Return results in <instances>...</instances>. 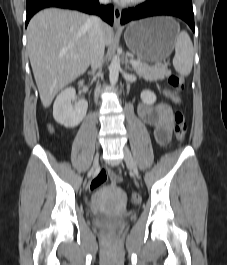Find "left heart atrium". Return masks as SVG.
Masks as SVG:
<instances>
[{"instance_id": "obj_1", "label": "left heart atrium", "mask_w": 227, "mask_h": 265, "mask_svg": "<svg viewBox=\"0 0 227 265\" xmlns=\"http://www.w3.org/2000/svg\"><path fill=\"white\" fill-rule=\"evenodd\" d=\"M117 1H128V0H117Z\"/></svg>"}]
</instances>
